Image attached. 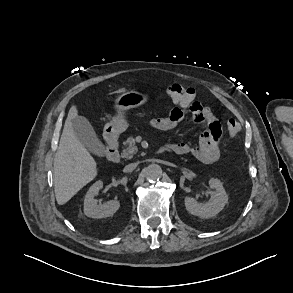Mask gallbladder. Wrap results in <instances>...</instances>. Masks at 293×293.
<instances>
[{
  "label": "gallbladder",
  "instance_id": "gallbladder-1",
  "mask_svg": "<svg viewBox=\"0 0 293 293\" xmlns=\"http://www.w3.org/2000/svg\"><path fill=\"white\" fill-rule=\"evenodd\" d=\"M71 122L73 131L83 146L91 153L102 157L105 153V147L90 122L83 116H77Z\"/></svg>",
  "mask_w": 293,
  "mask_h": 293
}]
</instances>
